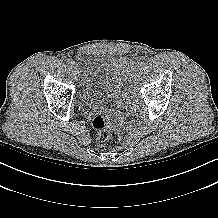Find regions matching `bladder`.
<instances>
[{
  "mask_svg": "<svg viewBox=\"0 0 218 218\" xmlns=\"http://www.w3.org/2000/svg\"><path fill=\"white\" fill-rule=\"evenodd\" d=\"M79 99L83 106H107L123 92L133 76L135 60L129 56L109 57L90 52L77 56Z\"/></svg>",
  "mask_w": 218,
  "mask_h": 218,
  "instance_id": "31cf9c89",
  "label": "bladder"
}]
</instances>
